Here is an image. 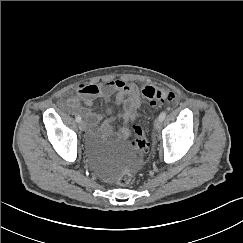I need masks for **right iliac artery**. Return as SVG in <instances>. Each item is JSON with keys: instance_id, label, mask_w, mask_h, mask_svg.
Returning <instances> with one entry per match:
<instances>
[{"instance_id": "1", "label": "right iliac artery", "mask_w": 243, "mask_h": 243, "mask_svg": "<svg viewBox=\"0 0 243 243\" xmlns=\"http://www.w3.org/2000/svg\"><path fill=\"white\" fill-rule=\"evenodd\" d=\"M76 121L79 123V122H81V117L80 116H76Z\"/></svg>"}]
</instances>
